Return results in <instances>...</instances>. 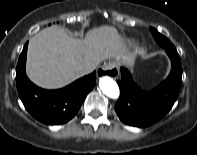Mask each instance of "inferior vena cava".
Returning <instances> with one entry per match:
<instances>
[{"label": "inferior vena cava", "mask_w": 197, "mask_h": 155, "mask_svg": "<svg viewBox=\"0 0 197 155\" xmlns=\"http://www.w3.org/2000/svg\"><path fill=\"white\" fill-rule=\"evenodd\" d=\"M96 66L94 65H85L82 67L83 74H89L95 70Z\"/></svg>", "instance_id": "inferior-vena-cava-1"}]
</instances>
